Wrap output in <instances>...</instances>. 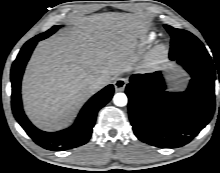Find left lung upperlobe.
<instances>
[{"mask_svg": "<svg viewBox=\"0 0 220 173\" xmlns=\"http://www.w3.org/2000/svg\"><path fill=\"white\" fill-rule=\"evenodd\" d=\"M171 35L170 55L180 58L188 54L209 55L201 41L188 31L165 25Z\"/></svg>", "mask_w": 220, "mask_h": 173, "instance_id": "left-lung-upper-lobe-1", "label": "left lung upper lobe"}]
</instances>
